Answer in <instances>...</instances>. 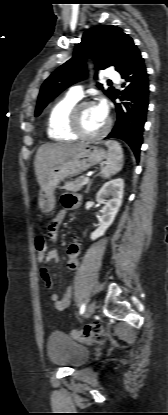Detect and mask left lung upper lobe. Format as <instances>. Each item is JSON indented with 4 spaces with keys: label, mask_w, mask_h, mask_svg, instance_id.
Returning <instances> with one entry per match:
<instances>
[{
    "label": "left lung upper lobe",
    "mask_w": 168,
    "mask_h": 415,
    "mask_svg": "<svg viewBox=\"0 0 168 415\" xmlns=\"http://www.w3.org/2000/svg\"><path fill=\"white\" fill-rule=\"evenodd\" d=\"M138 53L140 52L132 38L117 26H96L87 30L81 42L76 44L73 57L57 68L43 83L35 115L38 116L64 89L85 77V60L89 56L96 57L97 68L114 66L121 74ZM97 86L102 89V84L98 83ZM103 92L111 98L115 89L110 87Z\"/></svg>",
    "instance_id": "obj_1"
}]
</instances>
